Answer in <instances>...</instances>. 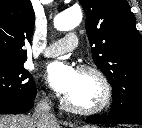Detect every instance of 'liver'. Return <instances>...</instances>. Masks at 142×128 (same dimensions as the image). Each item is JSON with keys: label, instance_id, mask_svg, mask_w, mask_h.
<instances>
[{"label": "liver", "instance_id": "6515ba94", "mask_svg": "<svg viewBox=\"0 0 142 128\" xmlns=\"http://www.w3.org/2000/svg\"><path fill=\"white\" fill-rule=\"evenodd\" d=\"M0 128H37L33 115H0ZM53 128H60L57 123Z\"/></svg>", "mask_w": 142, "mask_h": 128}]
</instances>
